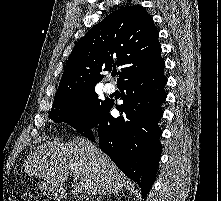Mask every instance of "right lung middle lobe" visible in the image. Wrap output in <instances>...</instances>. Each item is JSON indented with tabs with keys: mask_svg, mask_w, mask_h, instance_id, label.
Masks as SVG:
<instances>
[{
	"mask_svg": "<svg viewBox=\"0 0 221 201\" xmlns=\"http://www.w3.org/2000/svg\"><path fill=\"white\" fill-rule=\"evenodd\" d=\"M109 102L108 99H98L94 89L57 96L49 118L57 123H67L81 132L98 121Z\"/></svg>",
	"mask_w": 221,
	"mask_h": 201,
	"instance_id": "dd1d6c3e",
	"label": "right lung middle lobe"
}]
</instances>
